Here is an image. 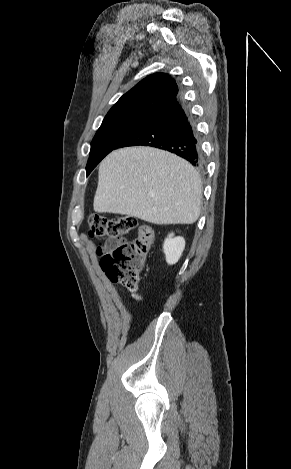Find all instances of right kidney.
Listing matches in <instances>:
<instances>
[{
  "label": "right kidney",
  "instance_id": "ca27d5eb",
  "mask_svg": "<svg viewBox=\"0 0 291 469\" xmlns=\"http://www.w3.org/2000/svg\"><path fill=\"white\" fill-rule=\"evenodd\" d=\"M184 248L185 240L183 237H174L173 233L169 234L163 244V251L166 256V262L169 265L177 263Z\"/></svg>",
  "mask_w": 291,
  "mask_h": 469
}]
</instances>
